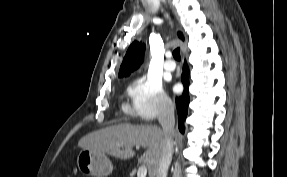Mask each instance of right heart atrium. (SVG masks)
I'll return each mask as SVG.
<instances>
[{
	"instance_id": "d8ad5b80",
	"label": "right heart atrium",
	"mask_w": 287,
	"mask_h": 177,
	"mask_svg": "<svg viewBox=\"0 0 287 177\" xmlns=\"http://www.w3.org/2000/svg\"><path fill=\"white\" fill-rule=\"evenodd\" d=\"M132 109L142 122L148 123L171 108V100L159 77L146 74L135 78L128 85Z\"/></svg>"
}]
</instances>
